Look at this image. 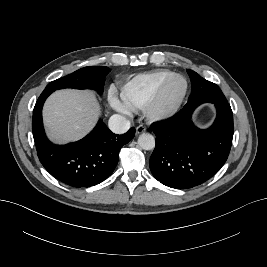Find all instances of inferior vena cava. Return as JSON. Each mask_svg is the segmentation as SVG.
I'll return each mask as SVG.
<instances>
[{
	"mask_svg": "<svg viewBox=\"0 0 267 267\" xmlns=\"http://www.w3.org/2000/svg\"><path fill=\"white\" fill-rule=\"evenodd\" d=\"M109 129L116 134H123L130 128V122L122 115L115 114L109 118Z\"/></svg>",
	"mask_w": 267,
	"mask_h": 267,
	"instance_id": "obj_1",
	"label": "inferior vena cava"
}]
</instances>
